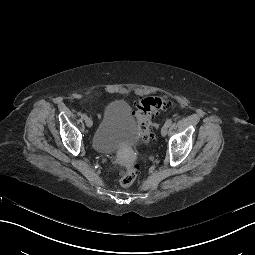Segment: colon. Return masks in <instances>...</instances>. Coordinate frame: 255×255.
Listing matches in <instances>:
<instances>
[{
    "mask_svg": "<svg viewBox=\"0 0 255 255\" xmlns=\"http://www.w3.org/2000/svg\"><path fill=\"white\" fill-rule=\"evenodd\" d=\"M171 106V102L167 98L161 96L146 97L138 103L136 118L145 140L148 141L152 138V117L166 111L171 108ZM137 168L138 166L136 164L119 167L118 176L121 186L130 187L133 185L137 177Z\"/></svg>",
    "mask_w": 255,
    "mask_h": 255,
    "instance_id": "5ec220e1",
    "label": "colon"
}]
</instances>
